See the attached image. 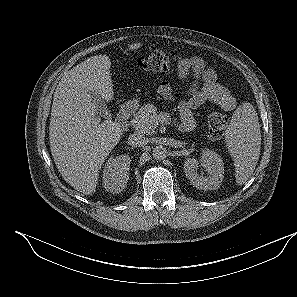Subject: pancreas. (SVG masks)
I'll return each instance as SVG.
<instances>
[{"label":"pancreas","mask_w":297,"mask_h":297,"mask_svg":"<svg viewBox=\"0 0 297 297\" xmlns=\"http://www.w3.org/2000/svg\"><path fill=\"white\" fill-rule=\"evenodd\" d=\"M159 118L157 108L153 104H145L135 114L132 125L136 131L151 135L155 132Z\"/></svg>","instance_id":"cf45deb5"}]
</instances>
